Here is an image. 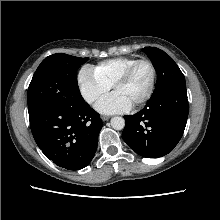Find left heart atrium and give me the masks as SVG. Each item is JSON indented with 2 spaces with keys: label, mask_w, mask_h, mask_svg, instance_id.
I'll use <instances>...</instances> for the list:
<instances>
[{
  "label": "left heart atrium",
  "mask_w": 220,
  "mask_h": 220,
  "mask_svg": "<svg viewBox=\"0 0 220 220\" xmlns=\"http://www.w3.org/2000/svg\"><path fill=\"white\" fill-rule=\"evenodd\" d=\"M131 103L118 93H112L96 104V110L102 114H117L130 110Z\"/></svg>",
  "instance_id": "39dd6f15"
}]
</instances>
